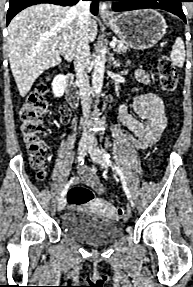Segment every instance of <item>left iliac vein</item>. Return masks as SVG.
Listing matches in <instances>:
<instances>
[{
    "label": "left iliac vein",
    "instance_id": "4c4485c4",
    "mask_svg": "<svg viewBox=\"0 0 193 287\" xmlns=\"http://www.w3.org/2000/svg\"><path fill=\"white\" fill-rule=\"evenodd\" d=\"M89 154L95 163L99 164L104 169L108 168V164L105 161L101 151L98 148H96L95 146L90 147L89 148ZM130 205L132 208L135 207V204L132 200H130Z\"/></svg>",
    "mask_w": 193,
    "mask_h": 287
}]
</instances>
